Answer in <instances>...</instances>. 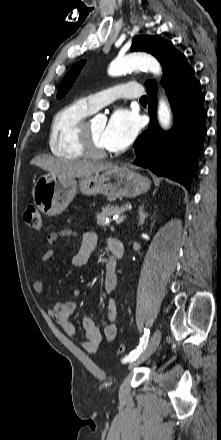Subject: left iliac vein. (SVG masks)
Listing matches in <instances>:
<instances>
[{"label":"left iliac vein","instance_id":"obj_1","mask_svg":"<svg viewBox=\"0 0 221 440\" xmlns=\"http://www.w3.org/2000/svg\"><path fill=\"white\" fill-rule=\"evenodd\" d=\"M160 340H161V331H160V329H157L152 334L145 349L140 353V355L136 358V360H134L133 362H130L129 368L131 369V368L139 365L140 363H142L146 359H148L157 349V347L160 343Z\"/></svg>","mask_w":221,"mask_h":440}]
</instances>
